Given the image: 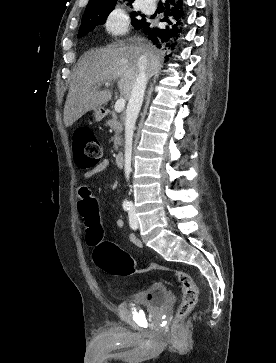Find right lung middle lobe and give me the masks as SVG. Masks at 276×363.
<instances>
[{
	"instance_id": "1",
	"label": "right lung middle lobe",
	"mask_w": 276,
	"mask_h": 363,
	"mask_svg": "<svg viewBox=\"0 0 276 363\" xmlns=\"http://www.w3.org/2000/svg\"><path fill=\"white\" fill-rule=\"evenodd\" d=\"M115 4L116 2H111L88 6L82 18L78 36L83 37L90 31L94 30L96 26L104 24L107 16L114 9ZM132 15V21L135 28H139L140 25L146 21L144 18H139L142 16L140 13L134 11Z\"/></svg>"
}]
</instances>
